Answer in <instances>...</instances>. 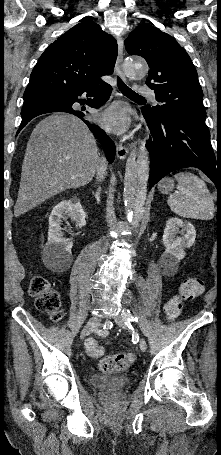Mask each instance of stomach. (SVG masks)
<instances>
[{"mask_svg":"<svg viewBox=\"0 0 221 455\" xmlns=\"http://www.w3.org/2000/svg\"><path fill=\"white\" fill-rule=\"evenodd\" d=\"M174 188V181L170 178H164L158 184V189L161 193L167 194Z\"/></svg>","mask_w":221,"mask_h":455,"instance_id":"1","label":"stomach"}]
</instances>
